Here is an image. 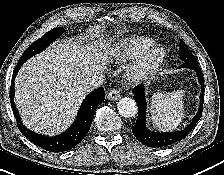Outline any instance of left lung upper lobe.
Wrapping results in <instances>:
<instances>
[{"instance_id": "5c2ea615", "label": "left lung upper lobe", "mask_w": 224, "mask_h": 175, "mask_svg": "<svg viewBox=\"0 0 224 175\" xmlns=\"http://www.w3.org/2000/svg\"><path fill=\"white\" fill-rule=\"evenodd\" d=\"M180 59L183 62L187 63H197L194 55L191 53L189 48L186 46V44L183 41H180Z\"/></svg>"}]
</instances>
